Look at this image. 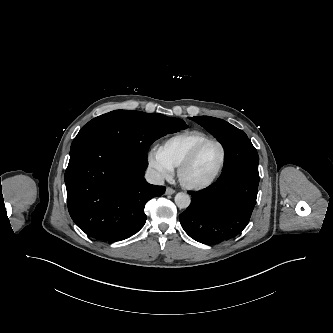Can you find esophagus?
Returning a JSON list of instances; mask_svg holds the SVG:
<instances>
[{
    "instance_id": "34e87169",
    "label": "esophagus",
    "mask_w": 333,
    "mask_h": 333,
    "mask_svg": "<svg viewBox=\"0 0 333 333\" xmlns=\"http://www.w3.org/2000/svg\"><path fill=\"white\" fill-rule=\"evenodd\" d=\"M175 193V190L174 189H172V188H170V187H167L166 188V191H165V194L166 195H172V194H174Z\"/></svg>"
}]
</instances>
